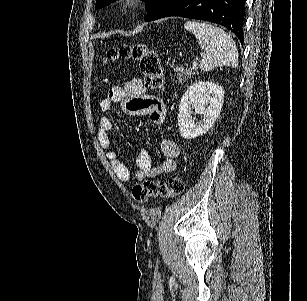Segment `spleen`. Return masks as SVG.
Instances as JSON below:
<instances>
[{
	"mask_svg": "<svg viewBox=\"0 0 307 301\" xmlns=\"http://www.w3.org/2000/svg\"><path fill=\"white\" fill-rule=\"evenodd\" d=\"M186 30H191L202 48L201 70H212L215 66H238L237 46L228 32L208 22L187 20Z\"/></svg>",
	"mask_w": 307,
	"mask_h": 301,
	"instance_id": "1",
	"label": "spleen"
}]
</instances>
